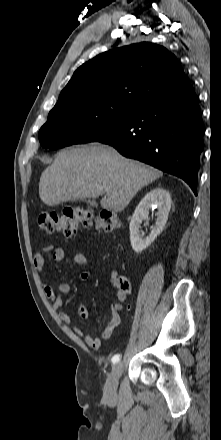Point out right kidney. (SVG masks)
<instances>
[{"mask_svg": "<svg viewBox=\"0 0 221 440\" xmlns=\"http://www.w3.org/2000/svg\"><path fill=\"white\" fill-rule=\"evenodd\" d=\"M151 208H158L156 223L152 227L150 235L143 238V236L140 235V225L143 220L148 218L149 210ZM170 208V194L161 187H156L150 190L142 198L135 209L129 226L131 246L136 253H140L146 249L163 231L168 219Z\"/></svg>", "mask_w": 221, "mask_h": 440, "instance_id": "ca27d5eb", "label": "right kidney"}]
</instances>
